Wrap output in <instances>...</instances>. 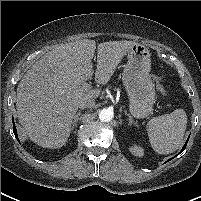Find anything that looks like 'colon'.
I'll list each match as a JSON object with an SVG mask.
<instances>
[{
	"label": "colon",
	"instance_id": "obj_1",
	"mask_svg": "<svg viewBox=\"0 0 201 201\" xmlns=\"http://www.w3.org/2000/svg\"><path fill=\"white\" fill-rule=\"evenodd\" d=\"M152 79H153V81H154V83H155V85H156V88H157L159 94H160L161 96H163V97L167 96V95H168V92H167V90L165 89V87L163 86L160 76H158V75H153V76H152Z\"/></svg>",
	"mask_w": 201,
	"mask_h": 201
}]
</instances>
